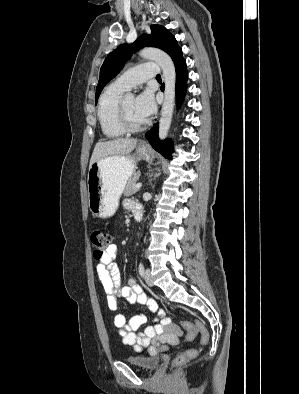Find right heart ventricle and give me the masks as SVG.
Returning a JSON list of instances; mask_svg holds the SVG:
<instances>
[{
	"label": "right heart ventricle",
	"instance_id": "obj_1",
	"mask_svg": "<svg viewBox=\"0 0 299 394\" xmlns=\"http://www.w3.org/2000/svg\"><path fill=\"white\" fill-rule=\"evenodd\" d=\"M125 92L124 88L114 82L104 90L99 99L97 116L101 130L107 138H118L126 133L117 119L118 102Z\"/></svg>",
	"mask_w": 299,
	"mask_h": 394
}]
</instances>
